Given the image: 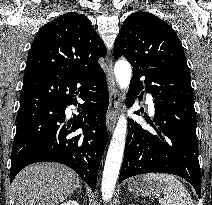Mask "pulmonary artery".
Masks as SVG:
<instances>
[{
    "instance_id": "e3ab8cb5",
    "label": "pulmonary artery",
    "mask_w": 212,
    "mask_h": 205,
    "mask_svg": "<svg viewBox=\"0 0 212 205\" xmlns=\"http://www.w3.org/2000/svg\"><path fill=\"white\" fill-rule=\"evenodd\" d=\"M147 102H148L150 108L152 109L153 108V98L150 94H147Z\"/></svg>"
}]
</instances>
